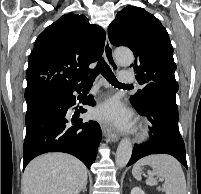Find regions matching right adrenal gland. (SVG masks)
Masks as SVG:
<instances>
[{
    "label": "right adrenal gland",
    "instance_id": "2a0ac1e0",
    "mask_svg": "<svg viewBox=\"0 0 201 194\" xmlns=\"http://www.w3.org/2000/svg\"><path fill=\"white\" fill-rule=\"evenodd\" d=\"M81 191H82L83 193L87 191V189H86V185L82 188Z\"/></svg>",
    "mask_w": 201,
    "mask_h": 194
}]
</instances>
